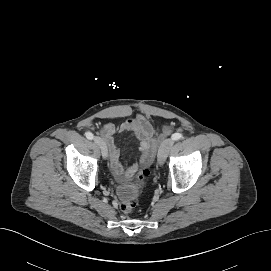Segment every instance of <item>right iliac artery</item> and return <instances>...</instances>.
I'll return each mask as SVG.
<instances>
[{"label": "right iliac artery", "instance_id": "1", "mask_svg": "<svg viewBox=\"0 0 271 271\" xmlns=\"http://www.w3.org/2000/svg\"><path fill=\"white\" fill-rule=\"evenodd\" d=\"M86 137L89 139V140H92L94 138V135L91 133V132H87L86 133Z\"/></svg>", "mask_w": 271, "mask_h": 271}]
</instances>
